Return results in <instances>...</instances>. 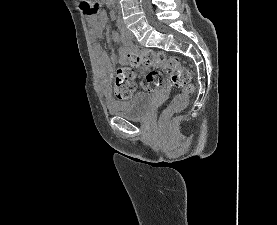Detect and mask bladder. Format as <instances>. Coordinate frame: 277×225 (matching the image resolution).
Listing matches in <instances>:
<instances>
[{
  "label": "bladder",
  "mask_w": 277,
  "mask_h": 225,
  "mask_svg": "<svg viewBox=\"0 0 277 225\" xmlns=\"http://www.w3.org/2000/svg\"><path fill=\"white\" fill-rule=\"evenodd\" d=\"M153 108V96L150 93L138 92L126 101L108 103L110 114L128 120H142L146 118Z\"/></svg>",
  "instance_id": "31cf9c89"
}]
</instances>
